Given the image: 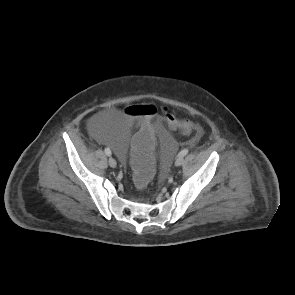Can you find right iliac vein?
<instances>
[{"label":"right iliac vein","instance_id":"1","mask_svg":"<svg viewBox=\"0 0 295 295\" xmlns=\"http://www.w3.org/2000/svg\"><path fill=\"white\" fill-rule=\"evenodd\" d=\"M108 162H109V165L112 167V168H115L116 167V160L114 159V158H112V157H110L109 158V160H108Z\"/></svg>","mask_w":295,"mask_h":295}]
</instances>
